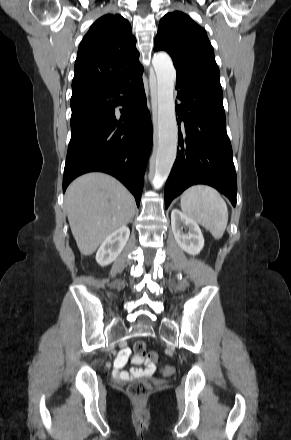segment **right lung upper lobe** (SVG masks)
<instances>
[{"mask_svg": "<svg viewBox=\"0 0 291 440\" xmlns=\"http://www.w3.org/2000/svg\"><path fill=\"white\" fill-rule=\"evenodd\" d=\"M135 43L131 25L121 15L99 18L79 45L72 95L112 88L142 72Z\"/></svg>", "mask_w": 291, "mask_h": 440, "instance_id": "obj_1", "label": "right lung upper lobe"}]
</instances>
